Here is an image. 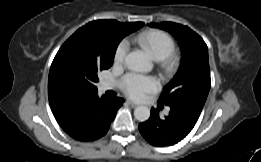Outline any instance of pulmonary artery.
<instances>
[{
    "instance_id": "obj_1",
    "label": "pulmonary artery",
    "mask_w": 261,
    "mask_h": 162,
    "mask_svg": "<svg viewBox=\"0 0 261 162\" xmlns=\"http://www.w3.org/2000/svg\"><path fill=\"white\" fill-rule=\"evenodd\" d=\"M112 88H113V86H112L110 83L105 82V83L102 84V89H103L104 91L110 90V89H112Z\"/></svg>"
}]
</instances>
